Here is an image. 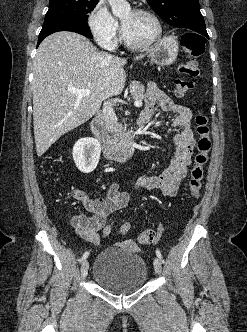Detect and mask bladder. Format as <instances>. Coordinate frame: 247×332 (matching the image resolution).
Here are the masks:
<instances>
[{
  "label": "bladder",
  "mask_w": 247,
  "mask_h": 332,
  "mask_svg": "<svg viewBox=\"0 0 247 332\" xmlns=\"http://www.w3.org/2000/svg\"><path fill=\"white\" fill-rule=\"evenodd\" d=\"M148 268L144 259L129 243L111 245L96 257L93 279L113 294H130L140 290L147 281Z\"/></svg>",
  "instance_id": "obj_1"
}]
</instances>
